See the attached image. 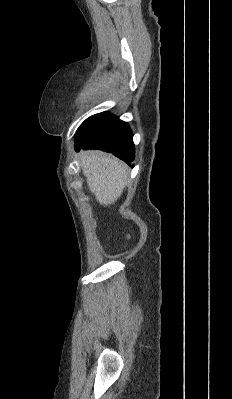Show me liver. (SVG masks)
I'll return each mask as SVG.
<instances>
[{
    "mask_svg": "<svg viewBox=\"0 0 232 399\" xmlns=\"http://www.w3.org/2000/svg\"><path fill=\"white\" fill-rule=\"evenodd\" d=\"M81 170L87 186L101 205L120 198L128 184V168L124 162L104 152H80Z\"/></svg>",
    "mask_w": 232,
    "mask_h": 399,
    "instance_id": "1",
    "label": "liver"
}]
</instances>
